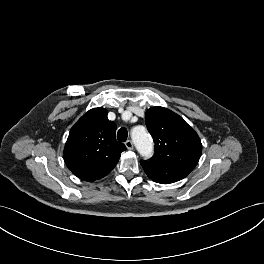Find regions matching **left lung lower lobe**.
Returning <instances> with one entry per match:
<instances>
[{
    "label": "left lung lower lobe",
    "instance_id": "obj_1",
    "mask_svg": "<svg viewBox=\"0 0 264 264\" xmlns=\"http://www.w3.org/2000/svg\"><path fill=\"white\" fill-rule=\"evenodd\" d=\"M147 176L154 182L169 184L185 178L190 172L181 168L162 165L150 160L140 161Z\"/></svg>",
    "mask_w": 264,
    "mask_h": 264
}]
</instances>
